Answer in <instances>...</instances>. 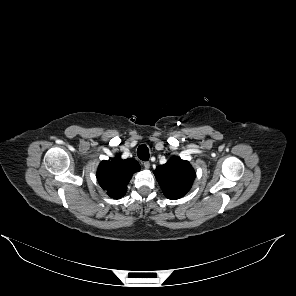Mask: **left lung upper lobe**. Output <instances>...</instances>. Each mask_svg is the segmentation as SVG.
I'll list each match as a JSON object with an SVG mask.
<instances>
[{"mask_svg":"<svg viewBox=\"0 0 296 296\" xmlns=\"http://www.w3.org/2000/svg\"><path fill=\"white\" fill-rule=\"evenodd\" d=\"M154 174L164 195L172 200L184 196L195 179V172L190 163L178 157H173L166 164L157 166Z\"/></svg>","mask_w":296,"mask_h":296,"instance_id":"1","label":"left lung upper lobe"}]
</instances>
